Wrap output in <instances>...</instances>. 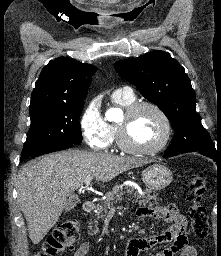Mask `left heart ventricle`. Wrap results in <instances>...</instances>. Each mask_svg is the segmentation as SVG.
Here are the masks:
<instances>
[{
  "instance_id": "b2bd125f",
  "label": "left heart ventricle",
  "mask_w": 221,
  "mask_h": 256,
  "mask_svg": "<svg viewBox=\"0 0 221 256\" xmlns=\"http://www.w3.org/2000/svg\"><path fill=\"white\" fill-rule=\"evenodd\" d=\"M125 118L120 123H124ZM163 122L152 109L145 108L126 122L128 141L138 147L148 148L159 142L163 135Z\"/></svg>"
}]
</instances>
